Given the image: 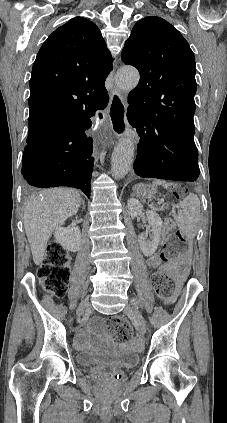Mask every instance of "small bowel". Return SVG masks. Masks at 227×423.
Listing matches in <instances>:
<instances>
[{
    "label": "small bowel",
    "mask_w": 227,
    "mask_h": 423,
    "mask_svg": "<svg viewBox=\"0 0 227 423\" xmlns=\"http://www.w3.org/2000/svg\"><path fill=\"white\" fill-rule=\"evenodd\" d=\"M148 265L152 268H157L166 271H172L173 273L177 274L178 276H183L188 271V262L186 256H183L176 262L166 264L161 266L160 259L157 255H152L148 258ZM172 300H169L171 302ZM95 324H100V320H94ZM89 327H84L80 329L75 336V344L76 346L83 348L87 346L88 339H89Z\"/></svg>",
    "instance_id": "obj_1"
}]
</instances>
